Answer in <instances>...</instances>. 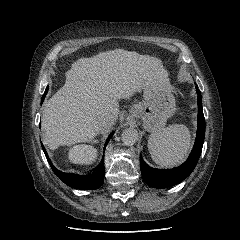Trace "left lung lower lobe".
<instances>
[{"label": "left lung lower lobe", "mask_w": 240, "mask_h": 240, "mask_svg": "<svg viewBox=\"0 0 240 240\" xmlns=\"http://www.w3.org/2000/svg\"><path fill=\"white\" fill-rule=\"evenodd\" d=\"M198 95V128L193 150L187 161L175 169H154L140 158V168L144 181L153 188H168L181 183L194 170L202 152L205 138V118L202 110V95L196 86Z\"/></svg>", "instance_id": "1"}]
</instances>
